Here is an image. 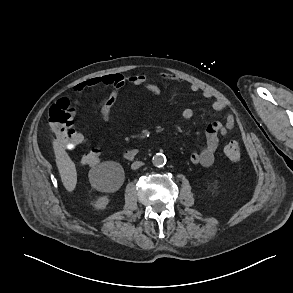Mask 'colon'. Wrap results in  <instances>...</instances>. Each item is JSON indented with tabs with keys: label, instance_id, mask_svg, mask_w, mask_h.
Returning <instances> with one entry per match:
<instances>
[{
	"label": "colon",
	"instance_id": "5ec220e1",
	"mask_svg": "<svg viewBox=\"0 0 293 293\" xmlns=\"http://www.w3.org/2000/svg\"><path fill=\"white\" fill-rule=\"evenodd\" d=\"M74 110L68 98L57 100L49 109L48 125L55 134L57 142L65 148H75L84 144V137L74 127ZM226 157L232 161L240 158V147L237 141L230 140L224 146ZM100 156L98 148H92L81 158L86 166L97 164Z\"/></svg>",
	"mask_w": 293,
	"mask_h": 293
}]
</instances>
